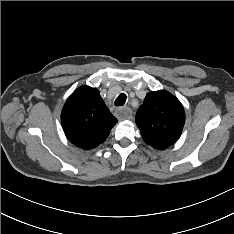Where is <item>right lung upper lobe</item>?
<instances>
[{
  "label": "right lung upper lobe",
  "mask_w": 234,
  "mask_h": 234,
  "mask_svg": "<svg viewBox=\"0 0 234 234\" xmlns=\"http://www.w3.org/2000/svg\"><path fill=\"white\" fill-rule=\"evenodd\" d=\"M117 122L99 90L89 86L76 89L66 100L61 112L66 137L72 144L85 150L103 143Z\"/></svg>",
  "instance_id": "obj_1"
}]
</instances>
